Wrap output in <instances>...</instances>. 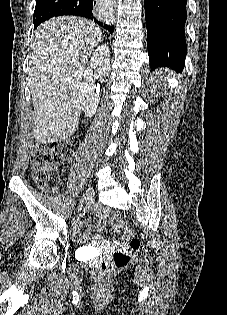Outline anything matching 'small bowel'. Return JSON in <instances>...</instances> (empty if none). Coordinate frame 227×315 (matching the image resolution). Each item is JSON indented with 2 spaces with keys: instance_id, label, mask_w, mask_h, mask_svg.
Masks as SVG:
<instances>
[{
  "instance_id": "1",
  "label": "small bowel",
  "mask_w": 227,
  "mask_h": 315,
  "mask_svg": "<svg viewBox=\"0 0 227 315\" xmlns=\"http://www.w3.org/2000/svg\"><path fill=\"white\" fill-rule=\"evenodd\" d=\"M86 223L87 224H91L89 221H86ZM95 228L98 231L102 232V231H104V224L102 222H98V223L95 224Z\"/></svg>"
}]
</instances>
